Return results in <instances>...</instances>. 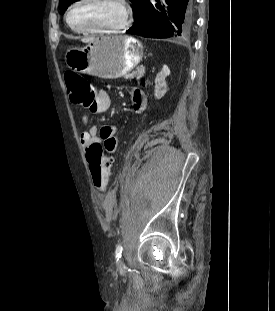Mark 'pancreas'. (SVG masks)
Masks as SVG:
<instances>
[{
	"label": "pancreas",
	"instance_id": "1",
	"mask_svg": "<svg viewBox=\"0 0 275 311\" xmlns=\"http://www.w3.org/2000/svg\"><path fill=\"white\" fill-rule=\"evenodd\" d=\"M144 75V68L138 67L136 71L132 72L131 74H127L125 76L126 79H133V78H140Z\"/></svg>",
	"mask_w": 275,
	"mask_h": 311
}]
</instances>
